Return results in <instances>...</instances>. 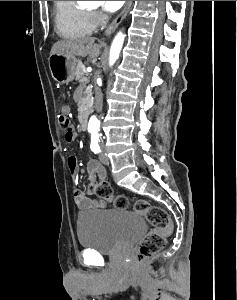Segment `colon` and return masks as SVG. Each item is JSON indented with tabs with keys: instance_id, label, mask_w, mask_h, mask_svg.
Here are the masks:
<instances>
[{
	"instance_id": "colon-1",
	"label": "colon",
	"mask_w": 237,
	"mask_h": 300,
	"mask_svg": "<svg viewBox=\"0 0 237 300\" xmlns=\"http://www.w3.org/2000/svg\"><path fill=\"white\" fill-rule=\"evenodd\" d=\"M59 126L66 141L69 143L73 142L76 134L69 118L65 114L60 115ZM96 194L102 199L109 200L118 210H125L129 206L128 198L124 195H114L112 187L106 181H102L98 185ZM133 210L135 213L144 216L152 226L149 233L140 241L136 252L137 261L144 263L163 249L166 238L171 232L172 222L165 210L151 205L144 199L136 200L133 204Z\"/></svg>"
}]
</instances>
